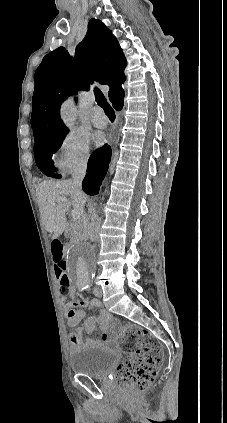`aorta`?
Masks as SVG:
<instances>
[{
  "instance_id": "obj_1",
  "label": "aorta",
  "mask_w": 227,
  "mask_h": 423,
  "mask_svg": "<svg viewBox=\"0 0 227 423\" xmlns=\"http://www.w3.org/2000/svg\"><path fill=\"white\" fill-rule=\"evenodd\" d=\"M71 100L66 101L61 107V118L72 129L76 121V112ZM96 271V253L94 248L87 243L73 246L67 256V274L79 287L90 284Z\"/></svg>"
}]
</instances>
